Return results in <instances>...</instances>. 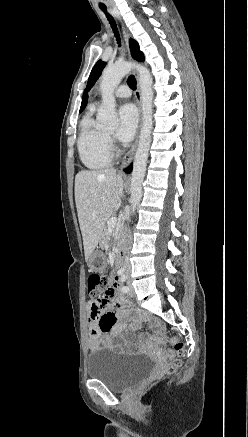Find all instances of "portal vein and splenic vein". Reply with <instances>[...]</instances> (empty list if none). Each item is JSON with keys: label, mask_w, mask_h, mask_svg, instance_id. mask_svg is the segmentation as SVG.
<instances>
[{"label": "portal vein and splenic vein", "mask_w": 248, "mask_h": 437, "mask_svg": "<svg viewBox=\"0 0 248 437\" xmlns=\"http://www.w3.org/2000/svg\"><path fill=\"white\" fill-rule=\"evenodd\" d=\"M107 224H108V228H109V229L114 228V227L116 226V224H117V217H112V218H110V219L107 221Z\"/></svg>", "instance_id": "18ae733b"}]
</instances>
